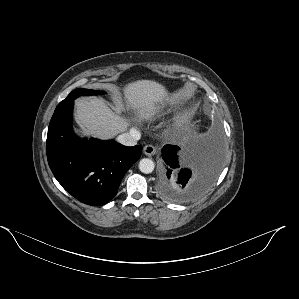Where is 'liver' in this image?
<instances>
[{"instance_id": "6515ba94", "label": "liver", "mask_w": 299, "mask_h": 299, "mask_svg": "<svg viewBox=\"0 0 299 299\" xmlns=\"http://www.w3.org/2000/svg\"><path fill=\"white\" fill-rule=\"evenodd\" d=\"M125 103L141 119L149 118L158 105L168 98L166 88L153 80H137L123 89ZM76 119L83 135L101 140L112 139L125 132L129 120L113 112L102 99L96 97L79 98L75 101Z\"/></svg>"}]
</instances>
